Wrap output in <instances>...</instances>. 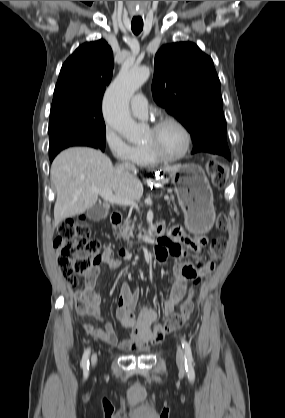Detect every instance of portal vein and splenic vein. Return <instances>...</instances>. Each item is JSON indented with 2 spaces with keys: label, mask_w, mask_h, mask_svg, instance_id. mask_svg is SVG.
Masks as SVG:
<instances>
[{
  "label": "portal vein and splenic vein",
  "mask_w": 285,
  "mask_h": 418,
  "mask_svg": "<svg viewBox=\"0 0 285 418\" xmlns=\"http://www.w3.org/2000/svg\"><path fill=\"white\" fill-rule=\"evenodd\" d=\"M94 192L97 193L98 195H100L105 201H107L109 203L116 204V205L132 206L137 211H139V207H138V205L136 204L135 201L129 200V199H124V198L118 197L116 195H113L112 191L95 189ZM167 199H168V197H166V200Z\"/></svg>",
  "instance_id": "1"
}]
</instances>
